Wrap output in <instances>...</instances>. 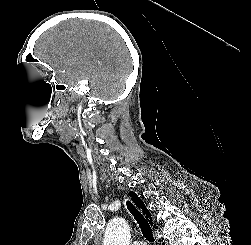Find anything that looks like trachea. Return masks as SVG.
<instances>
[{"label": "trachea", "instance_id": "obj_1", "mask_svg": "<svg viewBox=\"0 0 251 245\" xmlns=\"http://www.w3.org/2000/svg\"><path fill=\"white\" fill-rule=\"evenodd\" d=\"M127 208L139 224L142 234L146 238V240H148L149 242H154L155 239L153 237L152 229L147 220L130 201H127Z\"/></svg>", "mask_w": 251, "mask_h": 245}]
</instances>
